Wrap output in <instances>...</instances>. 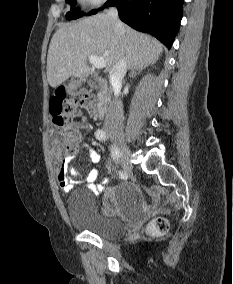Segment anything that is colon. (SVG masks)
<instances>
[{
    "instance_id": "obj_1",
    "label": "colon",
    "mask_w": 233,
    "mask_h": 284,
    "mask_svg": "<svg viewBox=\"0 0 233 284\" xmlns=\"http://www.w3.org/2000/svg\"><path fill=\"white\" fill-rule=\"evenodd\" d=\"M95 100L89 95L65 99L57 96L51 100L50 113L54 125L60 130L63 137L64 148L69 153H74L81 141V131L72 120V114L76 108H82L91 112L95 111ZM168 229L165 219L159 218L150 225V231L156 234H164Z\"/></svg>"
}]
</instances>
